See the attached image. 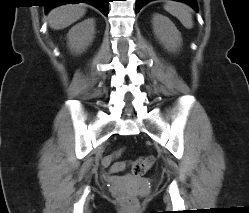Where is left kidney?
<instances>
[{
  "instance_id": "obj_1",
  "label": "left kidney",
  "mask_w": 249,
  "mask_h": 213,
  "mask_svg": "<svg viewBox=\"0 0 249 213\" xmlns=\"http://www.w3.org/2000/svg\"><path fill=\"white\" fill-rule=\"evenodd\" d=\"M153 30L156 38L168 51H177L182 44V37L174 23L161 14L153 15Z\"/></svg>"
}]
</instances>
